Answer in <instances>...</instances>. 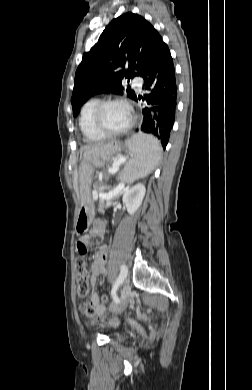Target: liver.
I'll return each instance as SVG.
<instances>
[{
  "mask_svg": "<svg viewBox=\"0 0 252 390\" xmlns=\"http://www.w3.org/2000/svg\"><path fill=\"white\" fill-rule=\"evenodd\" d=\"M106 144H97V145H92V146H86L84 147V151L86 152L87 150H91V149H98V148H101V147H104ZM75 186L77 187V178H75Z\"/></svg>",
  "mask_w": 252,
  "mask_h": 390,
  "instance_id": "6515ba94",
  "label": "liver"
}]
</instances>
